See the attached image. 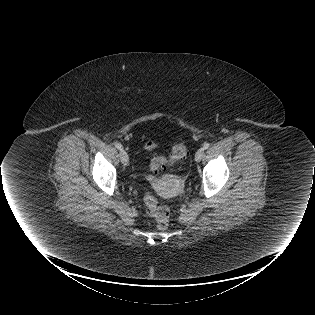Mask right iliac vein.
<instances>
[{"label":"right iliac vein","mask_w":315,"mask_h":315,"mask_svg":"<svg viewBox=\"0 0 315 315\" xmlns=\"http://www.w3.org/2000/svg\"><path fill=\"white\" fill-rule=\"evenodd\" d=\"M120 159H121V162L124 166H127L128 163H129V157H128V154L125 150H120Z\"/></svg>","instance_id":"63e3f726"}]
</instances>
